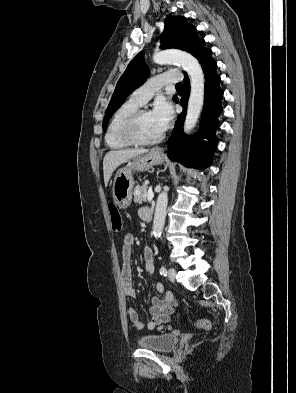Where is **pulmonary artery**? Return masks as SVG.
I'll use <instances>...</instances> for the list:
<instances>
[{
	"mask_svg": "<svg viewBox=\"0 0 296 393\" xmlns=\"http://www.w3.org/2000/svg\"><path fill=\"white\" fill-rule=\"evenodd\" d=\"M182 77L177 70H170L165 73L153 76L142 86L137 88L130 95L129 100L142 106L164 85L180 83Z\"/></svg>",
	"mask_w": 296,
	"mask_h": 393,
	"instance_id": "obj_1",
	"label": "pulmonary artery"
}]
</instances>
